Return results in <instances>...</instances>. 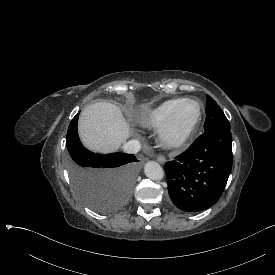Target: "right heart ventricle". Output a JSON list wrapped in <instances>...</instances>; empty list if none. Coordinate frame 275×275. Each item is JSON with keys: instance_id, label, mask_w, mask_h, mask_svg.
I'll return each instance as SVG.
<instances>
[{"instance_id": "obj_1", "label": "right heart ventricle", "mask_w": 275, "mask_h": 275, "mask_svg": "<svg viewBox=\"0 0 275 275\" xmlns=\"http://www.w3.org/2000/svg\"><path fill=\"white\" fill-rule=\"evenodd\" d=\"M183 98L169 99L160 104L143 109L134 114L135 121L147 129H159L164 126L172 109L182 101Z\"/></svg>"}]
</instances>
